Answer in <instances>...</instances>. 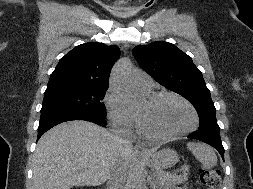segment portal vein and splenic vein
Segmentation results:
<instances>
[{
	"label": "portal vein and splenic vein",
	"instance_id": "18ae733b",
	"mask_svg": "<svg viewBox=\"0 0 253 189\" xmlns=\"http://www.w3.org/2000/svg\"><path fill=\"white\" fill-rule=\"evenodd\" d=\"M184 169H185V170H188V166H185Z\"/></svg>",
	"mask_w": 253,
	"mask_h": 189
}]
</instances>
